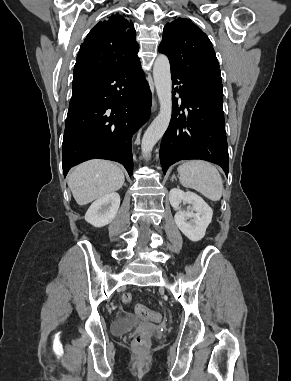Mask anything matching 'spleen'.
Masks as SVG:
<instances>
[{
  "label": "spleen",
  "mask_w": 291,
  "mask_h": 381,
  "mask_svg": "<svg viewBox=\"0 0 291 381\" xmlns=\"http://www.w3.org/2000/svg\"><path fill=\"white\" fill-rule=\"evenodd\" d=\"M180 183L192 188L211 201H219L223 192L220 173L211 163L191 160L178 167Z\"/></svg>",
  "instance_id": "3e777b00"
}]
</instances>
